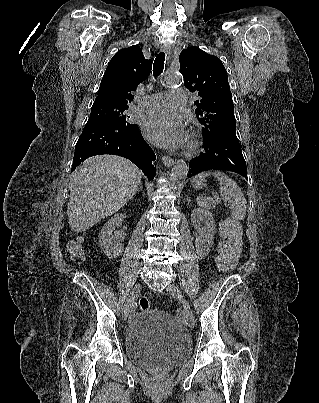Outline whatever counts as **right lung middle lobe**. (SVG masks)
<instances>
[{"label": "right lung middle lobe", "instance_id": "1", "mask_svg": "<svg viewBox=\"0 0 319 403\" xmlns=\"http://www.w3.org/2000/svg\"><path fill=\"white\" fill-rule=\"evenodd\" d=\"M127 108H128L127 105L94 103L91 108V114L87 123L104 121L124 125H131V123L128 122L129 116H126L124 114V111Z\"/></svg>", "mask_w": 319, "mask_h": 403}]
</instances>
